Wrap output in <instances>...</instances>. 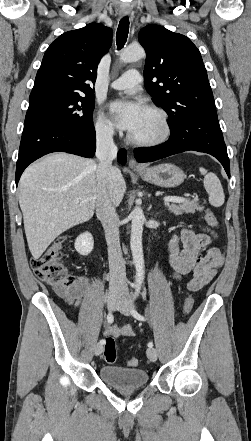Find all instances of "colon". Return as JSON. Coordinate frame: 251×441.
Here are the masks:
<instances>
[{
  "mask_svg": "<svg viewBox=\"0 0 251 441\" xmlns=\"http://www.w3.org/2000/svg\"><path fill=\"white\" fill-rule=\"evenodd\" d=\"M205 220L211 226L217 225V219L210 209L205 212ZM66 243V238L61 236L52 242L49 247L39 257L33 258L31 266L37 278L52 285L59 291H67L79 283L80 278L70 272L62 263V250ZM194 306L192 296H187L183 306V314L188 315ZM104 358L108 364H114L117 360L116 344L113 337L106 338ZM127 364L136 367L138 360L129 358Z\"/></svg>",
  "mask_w": 251,
  "mask_h": 441,
  "instance_id": "1",
  "label": "colon"
}]
</instances>
